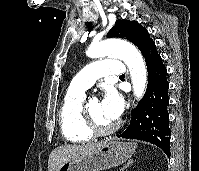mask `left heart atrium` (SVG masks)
Here are the masks:
<instances>
[{
    "label": "left heart atrium",
    "instance_id": "left-heart-atrium-1",
    "mask_svg": "<svg viewBox=\"0 0 199 171\" xmlns=\"http://www.w3.org/2000/svg\"><path fill=\"white\" fill-rule=\"evenodd\" d=\"M101 111L105 118L116 121L123 111V100L114 89H108L101 100Z\"/></svg>",
    "mask_w": 199,
    "mask_h": 171
}]
</instances>
